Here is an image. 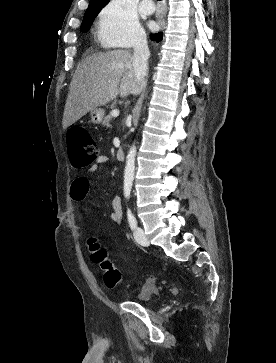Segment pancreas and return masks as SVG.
Listing matches in <instances>:
<instances>
[{
  "mask_svg": "<svg viewBox=\"0 0 276 363\" xmlns=\"http://www.w3.org/2000/svg\"><path fill=\"white\" fill-rule=\"evenodd\" d=\"M112 118H113V116H112V114L110 113L109 115H107V116L105 117L103 124H104V125H109V122L112 120Z\"/></svg>",
  "mask_w": 276,
  "mask_h": 363,
  "instance_id": "pancreas-1",
  "label": "pancreas"
}]
</instances>
